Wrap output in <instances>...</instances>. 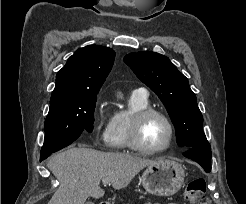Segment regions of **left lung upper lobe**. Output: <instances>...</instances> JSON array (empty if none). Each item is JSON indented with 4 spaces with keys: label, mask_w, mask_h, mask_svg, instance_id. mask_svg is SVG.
<instances>
[{
    "label": "left lung upper lobe",
    "mask_w": 246,
    "mask_h": 204,
    "mask_svg": "<svg viewBox=\"0 0 246 204\" xmlns=\"http://www.w3.org/2000/svg\"><path fill=\"white\" fill-rule=\"evenodd\" d=\"M124 61L165 105L175 126L179 146L191 148L208 143L196 96L189 87L188 79L168 57L141 51L126 55Z\"/></svg>",
    "instance_id": "obj_1"
}]
</instances>
